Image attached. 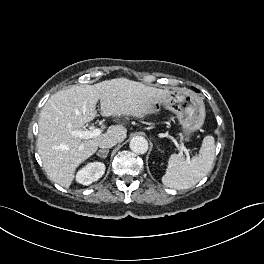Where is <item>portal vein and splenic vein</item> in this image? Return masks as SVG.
Wrapping results in <instances>:
<instances>
[{"mask_svg":"<svg viewBox=\"0 0 264 264\" xmlns=\"http://www.w3.org/2000/svg\"><path fill=\"white\" fill-rule=\"evenodd\" d=\"M102 133V129L100 128H96L93 130H74L71 131V134L75 137H79L80 139H91V138H95L98 137L100 134ZM82 148V146L80 147ZM181 151H183L186 154V158L190 159V155H189V151L186 149V147L184 145L180 146Z\"/></svg>","mask_w":264,"mask_h":264,"instance_id":"1","label":"portal vein and splenic vein"}]
</instances>
